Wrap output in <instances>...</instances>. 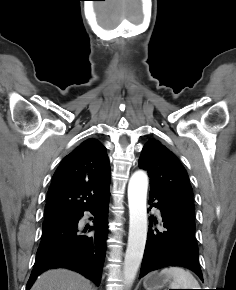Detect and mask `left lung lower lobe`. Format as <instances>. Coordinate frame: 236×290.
Returning a JSON list of instances; mask_svg holds the SVG:
<instances>
[{
  "label": "left lung lower lobe",
  "instance_id": "1",
  "mask_svg": "<svg viewBox=\"0 0 236 290\" xmlns=\"http://www.w3.org/2000/svg\"><path fill=\"white\" fill-rule=\"evenodd\" d=\"M149 198L152 202L156 201L152 206L160 209L165 229H152L153 221L156 223L157 220L150 218L139 278L162 267L183 266L194 271L202 279L194 219L155 192L150 191Z\"/></svg>",
  "mask_w": 236,
  "mask_h": 290
}]
</instances>
